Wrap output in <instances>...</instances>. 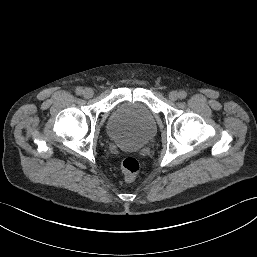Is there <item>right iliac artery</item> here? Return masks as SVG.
Segmentation results:
<instances>
[{"label": "right iliac artery", "instance_id": "1", "mask_svg": "<svg viewBox=\"0 0 257 257\" xmlns=\"http://www.w3.org/2000/svg\"><path fill=\"white\" fill-rule=\"evenodd\" d=\"M76 94H77V95H82V94H83V89L80 88V87H78V88L76 89Z\"/></svg>", "mask_w": 257, "mask_h": 257}]
</instances>
